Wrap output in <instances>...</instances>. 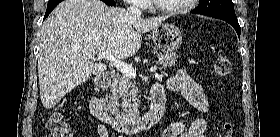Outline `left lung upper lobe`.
Listing matches in <instances>:
<instances>
[{"label": "left lung upper lobe", "mask_w": 280, "mask_h": 137, "mask_svg": "<svg viewBox=\"0 0 280 137\" xmlns=\"http://www.w3.org/2000/svg\"><path fill=\"white\" fill-rule=\"evenodd\" d=\"M200 5L193 10L199 14H215L236 17L232 0H199Z\"/></svg>", "instance_id": "obj_1"}]
</instances>
